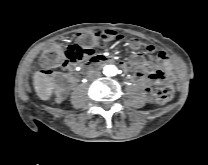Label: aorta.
<instances>
[{
	"label": "aorta",
	"instance_id": "aorta-1",
	"mask_svg": "<svg viewBox=\"0 0 208 165\" xmlns=\"http://www.w3.org/2000/svg\"><path fill=\"white\" fill-rule=\"evenodd\" d=\"M104 73L107 76H114L117 74V68L114 65H107L104 69Z\"/></svg>",
	"mask_w": 208,
	"mask_h": 165
}]
</instances>
